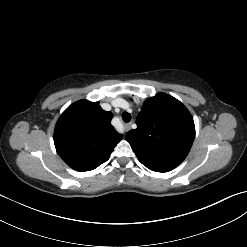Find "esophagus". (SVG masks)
Wrapping results in <instances>:
<instances>
[{
  "instance_id": "1",
  "label": "esophagus",
  "mask_w": 247,
  "mask_h": 247,
  "mask_svg": "<svg viewBox=\"0 0 247 247\" xmlns=\"http://www.w3.org/2000/svg\"><path fill=\"white\" fill-rule=\"evenodd\" d=\"M124 129H125L126 131H128V130L130 129V124H125V125H124Z\"/></svg>"
}]
</instances>
